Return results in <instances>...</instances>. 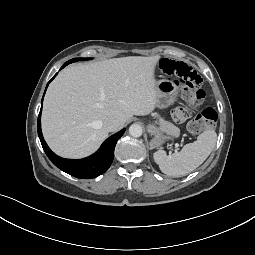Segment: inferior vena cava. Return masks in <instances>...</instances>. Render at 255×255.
Masks as SVG:
<instances>
[{
	"label": "inferior vena cava",
	"mask_w": 255,
	"mask_h": 255,
	"mask_svg": "<svg viewBox=\"0 0 255 255\" xmlns=\"http://www.w3.org/2000/svg\"><path fill=\"white\" fill-rule=\"evenodd\" d=\"M121 122L117 118H109L104 122V126L108 132H114L121 128Z\"/></svg>",
	"instance_id": "602c4592"
}]
</instances>
